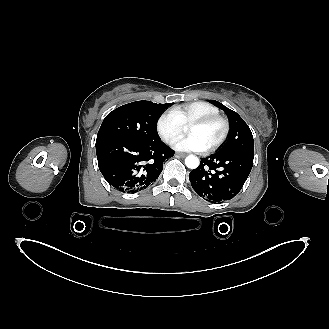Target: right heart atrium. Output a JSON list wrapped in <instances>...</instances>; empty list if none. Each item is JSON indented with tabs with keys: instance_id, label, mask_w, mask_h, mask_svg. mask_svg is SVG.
<instances>
[{
	"instance_id": "obj_1",
	"label": "right heart atrium",
	"mask_w": 329,
	"mask_h": 329,
	"mask_svg": "<svg viewBox=\"0 0 329 329\" xmlns=\"http://www.w3.org/2000/svg\"><path fill=\"white\" fill-rule=\"evenodd\" d=\"M183 131L184 125L172 110L163 112L156 120V132L166 144L174 143Z\"/></svg>"
}]
</instances>
